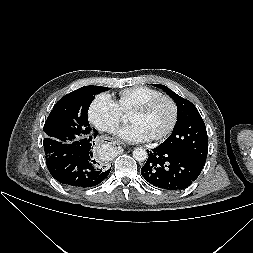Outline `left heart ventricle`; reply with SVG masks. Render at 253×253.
I'll use <instances>...</instances> for the list:
<instances>
[{
    "instance_id": "left-heart-ventricle-1",
    "label": "left heart ventricle",
    "mask_w": 253,
    "mask_h": 253,
    "mask_svg": "<svg viewBox=\"0 0 253 253\" xmlns=\"http://www.w3.org/2000/svg\"><path fill=\"white\" fill-rule=\"evenodd\" d=\"M171 120L172 108L167 101L158 102L146 113L130 116V121L142 126L152 138L162 134L168 128Z\"/></svg>"
}]
</instances>
